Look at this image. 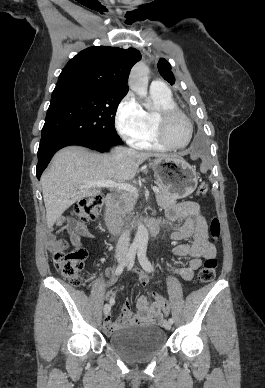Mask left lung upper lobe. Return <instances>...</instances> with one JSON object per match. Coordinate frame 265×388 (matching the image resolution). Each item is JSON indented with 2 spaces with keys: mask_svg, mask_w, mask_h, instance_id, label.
<instances>
[{
  "mask_svg": "<svg viewBox=\"0 0 265 388\" xmlns=\"http://www.w3.org/2000/svg\"><path fill=\"white\" fill-rule=\"evenodd\" d=\"M158 70L161 76L167 80L171 85L175 83L174 75L171 71V65L164 58L159 59Z\"/></svg>",
  "mask_w": 265,
  "mask_h": 388,
  "instance_id": "left-lung-upper-lobe-1",
  "label": "left lung upper lobe"
}]
</instances>
